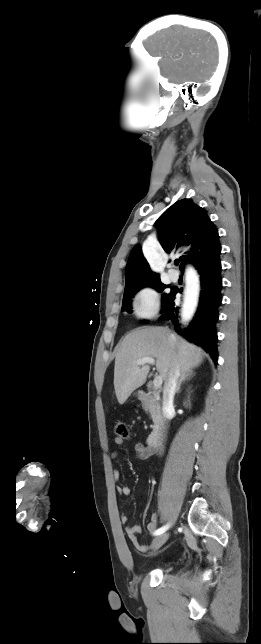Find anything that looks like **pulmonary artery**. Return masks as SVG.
I'll return each instance as SVG.
<instances>
[{
  "mask_svg": "<svg viewBox=\"0 0 261 644\" xmlns=\"http://www.w3.org/2000/svg\"><path fill=\"white\" fill-rule=\"evenodd\" d=\"M168 276L173 282H176L179 278L178 273L173 269L168 271Z\"/></svg>",
  "mask_w": 261,
  "mask_h": 644,
  "instance_id": "obj_1",
  "label": "pulmonary artery"
}]
</instances>
